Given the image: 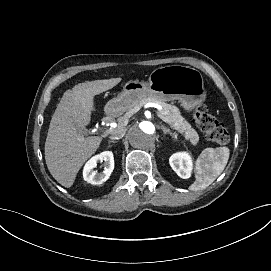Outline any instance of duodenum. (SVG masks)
Listing matches in <instances>:
<instances>
[{"label":"duodenum","mask_w":271,"mask_h":271,"mask_svg":"<svg viewBox=\"0 0 271 271\" xmlns=\"http://www.w3.org/2000/svg\"><path fill=\"white\" fill-rule=\"evenodd\" d=\"M109 117H110V118L113 117V112H109Z\"/></svg>","instance_id":"410a0bca"}]
</instances>
